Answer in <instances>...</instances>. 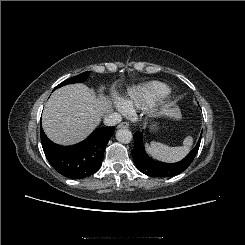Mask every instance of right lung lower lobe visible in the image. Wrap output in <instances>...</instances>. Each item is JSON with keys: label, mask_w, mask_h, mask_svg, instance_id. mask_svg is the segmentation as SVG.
<instances>
[{"label": "right lung lower lobe", "mask_w": 245, "mask_h": 245, "mask_svg": "<svg viewBox=\"0 0 245 245\" xmlns=\"http://www.w3.org/2000/svg\"><path fill=\"white\" fill-rule=\"evenodd\" d=\"M113 133L114 127L97 128L79 144L60 146L53 143L40 127L41 143L49 163L61 175L72 179H81L99 170Z\"/></svg>", "instance_id": "obj_1"}]
</instances>
